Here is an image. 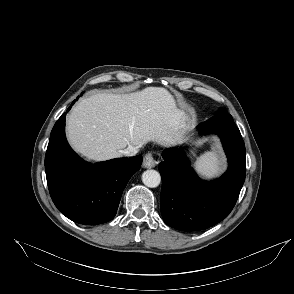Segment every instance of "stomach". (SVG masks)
Returning <instances> with one entry per match:
<instances>
[{
  "label": "stomach",
  "instance_id": "0dacf381",
  "mask_svg": "<svg viewBox=\"0 0 294 294\" xmlns=\"http://www.w3.org/2000/svg\"><path fill=\"white\" fill-rule=\"evenodd\" d=\"M183 130L185 132V135L188 133V130H189V119L188 117L185 118V123H184V126H183Z\"/></svg>",
  "mask_w": 294,
  "mask_h": 294
}]
</instances>
